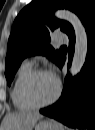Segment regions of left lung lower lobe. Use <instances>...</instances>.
Returning a JSON list of instances; mask_svg holds the SVG:
<instances>
[{"mask_svg":"<svg viewBox=\"0 0 95 130\" xmlns=\"http://www.w3.org/2000/svg\"><path fill=\"white\" fill-rule=\"evenodd\" d=\"M85 26L88 38V54L81 72L74 78L68 74L61 98L40 113L73 128H92L95 122V12L87 17ZM75 35L69 36L68 68L74 53ZM65 57L56 63L62 68Z\"/></svg>","mask_w":95,"mask_h":130,"instance_id":"0a47b994","label":"left lung lower lobe"}]
</instances>
